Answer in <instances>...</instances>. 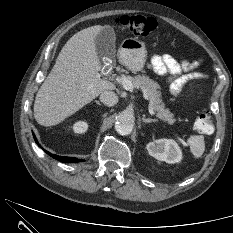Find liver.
<instances>
[{
  "label": "liver",
  "mask_w": 233,
  "mask_h": 233,
  "mask_svg": "<svg viewBox=\"0 0 233 233\" xmlns=\"http://www.w3.org/2000/svg\"><path fill=\"white\" fill-rule=\"evenodd\" d=\"M102 28L95 25L83 29L63 46L36 95L34 117L40 125H57L102 92L115 89L99 74L101 64L94 40Z\"/></svg>",
  "instance_id": "liver-1"
}]
</instances>
